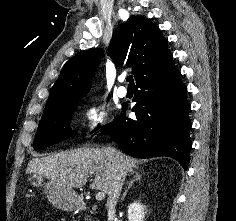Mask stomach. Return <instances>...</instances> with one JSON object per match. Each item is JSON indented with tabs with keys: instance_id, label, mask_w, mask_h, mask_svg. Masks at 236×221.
<instances>
[{
	"instance_id": "obj_1",
	"label": "stomach",
	"mask_w": 236,
	"mask_h": 221,
	"mask_svg": "<svg viewBox=\"0 0 236 221\" xmlns=\"http://www.w3.org/2000/svg\"><path fill=\"white\" fill-rule=\"evenodd\" d=\"M28 181L34 187L42 185V176L31 173L28 176ZM45 194L48 200L57 208L64 211L74 210L80 204V197L73 190L63 184L49 180L45 183Z\"/></svg>"
}]
</instances>
